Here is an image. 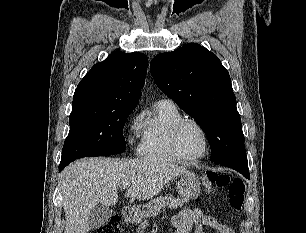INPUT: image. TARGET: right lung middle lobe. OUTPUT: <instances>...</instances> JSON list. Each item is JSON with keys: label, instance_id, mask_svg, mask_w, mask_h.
I'll list each match as a JSON object with an SVG mask.
<instances>
[{"label": "right lung middle lobe", "instance_id": "right-lung-middle-lobe-1", "mask_svg": "<svg viewBox=\"0 0 306 233\" xmlns=\"http://www.w3.org/2000/svg\"><path fill=\"white\" fill-rule=\"evenodd\" d=\"M133 108L73 106L70 131L64 142L60 163L69 164L86 156H101L125 151L123 128Z\"/></svg>", "mask_w": 306, "mask_h": 233}]
</instances>
